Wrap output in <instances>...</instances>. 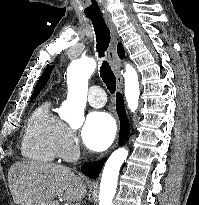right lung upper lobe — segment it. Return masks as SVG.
<instances>
[{
  "label": "right lung upper lobe",
  "instance_id": "right-lung-upper-lobe-1",
  "mask_svg": "<svg viewBox=\"0 0 199 205\" xmlns=\"http://www.w3.org/2000/svg\"><path fill=\"white\" fill-rule=\"evenodd\" d=\"M117 53L121 59L124 58L125 52H124V48H123L121 43H119L117 46ZM53 68L54 67L52 66V67L47 68L44 71V73L42 74V76L40 77V79L38 80V82L36 84V87L33 91L32 96H31V100L36 98L38 96V94L40 93V90H42L44 88V86L46 85V83L50 77V74H51V71L53 70Z\"/></svg>",
  "mask_w": 199,
  "mask_h": 205
}]
</instances>
